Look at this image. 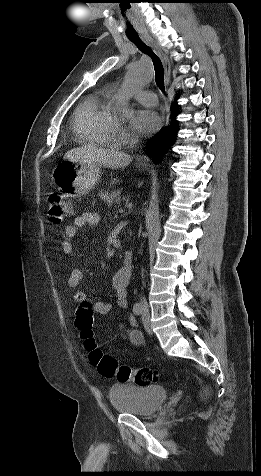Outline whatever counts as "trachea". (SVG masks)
<instances>
[{
  "label": "trachea",
  "instance_id": "3493384b",
  "mask_svg": "<svg viewBox=\"0 0 261 476\" xmlns=\"http://www.w3.org/2000/svg\"><path fill=\"white\" fill-rule=\"evenodd\" d=\"M129 40L132 41L142 52L148 54L153 62L155 70V81L157 86L164 91V67L160 58L153 52V50L145 45L138 35L129 36Z\"/></svg>",
  "mask_w": 261,
  "mask_h": 476
}]
</instances>
